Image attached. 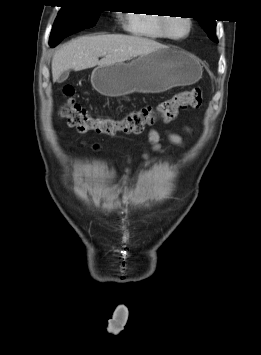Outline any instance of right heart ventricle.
I'll list each match as a JSON object with an SVG mask.
<instances>
[{
  "label": "right heart ventricle",
  "instance_id": "obj_1",
  "mask_svg": "<svg viewBox=\"0 0 261 355\" xmlns=\"http://www.w3.org/2000/svg\"><path fill=\"white\" fill-rule=\"evenodd\" d=\"M163 17L149 13H132L127 15V29L136 36L164 40L167 37L162 28Z\"/></svg>",
  "mask_w": 261,
  "mask_h": 355
}]
</instances>
